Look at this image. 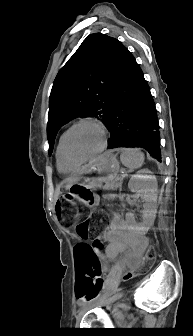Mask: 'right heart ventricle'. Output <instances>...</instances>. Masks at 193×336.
I'll use <instances>...</instances> for the list:
<instances>
[{"instance_id":"right-heart-ventricle-1","label":"right heart ventricle","mask_w":193,"mask_h":336,"mask_svg":"<svg viewBox=\"0 0 193 336\" xmlns=\"http://www.w3.org/2000/svg\"><path fill=\"white\" fill-rule=\"evenodd\" d=\"M62 137L63 135L59 138L56 148L57 168L62 174H72L79 170L81 163H70L65 159L62 152Z\"/></svg>"}]
</instances>
